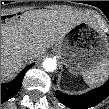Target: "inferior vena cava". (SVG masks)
<instances>
[{
  "label": "inferior vena cava",
  "mask_w": 109,
  "mask_h": 109,
  "mask_svg": "<svg viewBox=\"0 0 109 109\" xmlns=\"http://www.w3.org/2000/svg\"><path fill=\"white\" fill-rule=\"evenodd\" d=\"M22 58H23V60H31V59H33V54H32V52H23L22 53Z\"/></svg>",
  "instance_id": "602c4592"
}]
</instances>
